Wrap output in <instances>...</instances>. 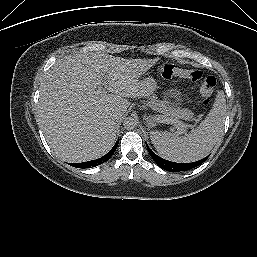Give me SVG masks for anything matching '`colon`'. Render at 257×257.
Returning <instances> with one entry per match:
<instances>
[{
  "label": "colon",
  "mask_w": 257,
  "mask_h": 257,
  "mask_svg": "<svg viewBox=\"0 0 257 257\" xmlns=\"http://www.w3.org/2000/svg\"><path fill=\"white\" fill-rule=\"evenodd\" d=\"M158 71L160 75L165 79L179 77L188 79L192 82H198L202 80L199 87L202 104L204 106H207L211 102L216 87L215 77L206 76L205 78H203V75L200 71L181 69L173 64H162L158 67Z\"/></svg>",
  "instance_id": "obj_1"
}]
</instances>
